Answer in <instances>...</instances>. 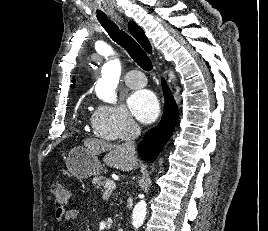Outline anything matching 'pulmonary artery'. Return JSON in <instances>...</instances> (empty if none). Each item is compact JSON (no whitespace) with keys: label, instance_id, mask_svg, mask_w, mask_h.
<instances>
[{"label":"pulmonary artery","instance_id":"obj_1","mask_svg":"<svg viewBox=\"0 0 268 231\" xmlns=\"http://www.w3.org/2000/svg\"><path fill=\"white\" fill-rule=\"evenodd\" d=\"M125 83L130 88H142L146 85V80L141 71L138 69H131L125 76Z\"/></svg>","mask_w":268,"mask_h":231}]
</instances>
